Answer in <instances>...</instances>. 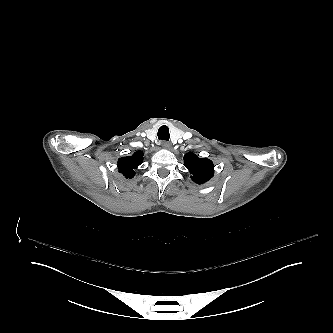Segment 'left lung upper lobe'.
I'll return each instance as SVG.
<instances>
[{"label":"left lung upper lobe","mask_w":333,"mask_h":333,"mask_svg":"<svg viewBox=\"0 0 333 333\" xmlns=\"http://www.w3.org/2000/svg\"><path fill=\"white\" fill-rule=\"evenodd\" d=\"M184 164L197 184H203L213 177L214 166L209 159H202L193 152H188L184 155Z\"/></svg>","instance_id":"5c2ea615"}]
</instances>
